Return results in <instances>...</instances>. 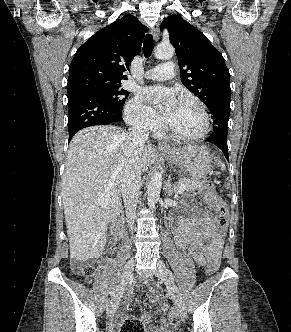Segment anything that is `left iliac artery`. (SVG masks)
<instances>
[{"label":"left iliac artery","mask_w":291,"mask_h":332,"mask_svg":"<svg viewBox=\"0 0 291 332\" xmlns=\"http://www.w3.org/2000/svg\"><path fill=\"white\" fill-rule=\"evenodd\" d=\"M169 273H170V276H171L172 278H174L173 274H172L171 272H169Z\"/></svg>","instance_id":"left-iliac-artery-1"}]
</instances>
